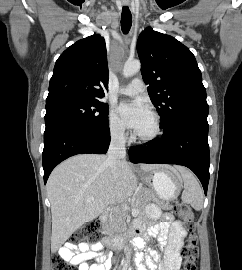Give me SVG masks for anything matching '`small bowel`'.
Wrapping results in <instances>:
<instances>
[{
    "mask_svg": "<svg viewBox=\"0 0 242 270\" xmlns=\"http://www.w3.org/2000/svg\"><path fill=\"white\" fill-rule=\"evenodd\" d=\"M147 220L149 226L146 227ZM156 220H159L155 222ZM136 234L144 233V236L135 240L137 248H144L150 238H157L164 248V261L161 264L162 270H179L180 249L182 238L185 235L183 224L174 219L170 213H161L155 206H149L147 219L140 218L134 223ZM103 243L98 241L91 244H66L60 253L67 261L77 266V270H109L111 268V254L101 251ZM90 260H95L90 264ZM161 256L158 251L149 248L148 256L143 253L137 255V270H156Z\"/></svg>",
    "mask_w": 242,
    "mask_h": 270,
    "instance_id": "obj_1",
    "label": "small bowel"
}]
</instances>
